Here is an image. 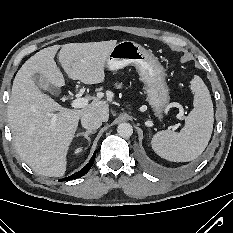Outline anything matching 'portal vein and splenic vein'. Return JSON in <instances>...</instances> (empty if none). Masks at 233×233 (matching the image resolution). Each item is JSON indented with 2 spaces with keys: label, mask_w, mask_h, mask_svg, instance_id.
Masks as SVG:
<instances>
[{
  "label": "portal vein and splenic vein",
  "mask_w": 233,
  "mask_h": 233,
  "mask_svg": "<svg viewBox=\"0 0 233 233\" xmlns=\"http://www.w3.org/2000/svg\"><path fill=\"white\" fill-rule=\"evenodd\" d=\"M88 101L89 100L87 98H76V99H74L72 101L71 107L76 108V109H78V108H84L85 106L88 105ZM56 118H57V116H56V114H54L52 116V122L53 123L56 121Z\"/></svg>",
  "instance_id": "obj_1"
}]
</instances>
